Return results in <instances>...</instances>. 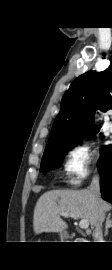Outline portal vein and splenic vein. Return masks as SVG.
Listing matches in <instances>:
<instances>
[{"mask_svg":"<svg viewBox=\"0 0 112 270\" xmlns=\"http://www.w3.org/2000/svg\"><path fill=\"white\" fill-rule=\"evenodd\" d=\"M64 216H70V217H72V218H74V219H77V217L73 214V213H69V212H63L62 213ZM79 227L81 228V229H88V227H89V222L86 220V219H81L80 221H79Z\"/></svg>","mask_w":112,"mask_h":270,"instance_id":"obj_1","label":"portal vein and splenic vein"}]
</instances>
